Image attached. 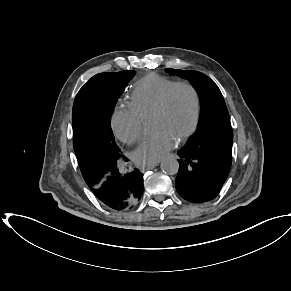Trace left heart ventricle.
Listing matches in <instances>:
<instances>
[{
  "label": "left heart ventricle",
  "instance_id": "b2bd125f",
  "mask_svg": "<svg viewBox=\"0 0 291 291\" xmlns=\"http://www.w3.org/2000/svg\"><path fill=\"white\" fill-rule=\"evenodd\" d=\"M194 113L193 98L190 92L180 88L172 97L171 108L165 116H154L151 124L155 132H168L175 138L191 124Z\"/></svg>",
  "mask_w": 291,
  "mask_h": 291
}]
</instances>
